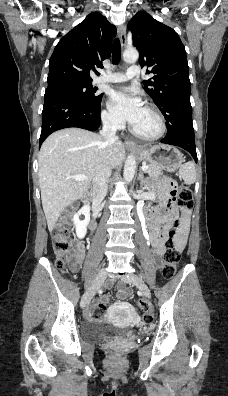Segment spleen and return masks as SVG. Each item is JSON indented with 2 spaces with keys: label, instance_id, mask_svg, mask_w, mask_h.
Returning <instances> with one entry per match:
<instances>
[{
  "label": "spleen",
  "instance_id": "1",
  "mask_svg": "<svg viewBox=\"0 0 228 396\" xmlns=\"http://www.w3.org/2000/svg\"><path fill=\"white\" fill-rule=\"evenodd\" d=\"M179 174L185 184L191 185L196 181V169L193 162H186L179 169Z\"/></svg>",
  "mask_w": 228,
  "mask_h": 396
}]
</instances>
